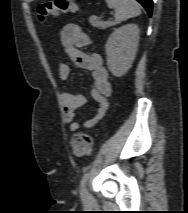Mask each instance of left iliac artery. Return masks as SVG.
<instances>
[{"mask_svg":"<svg viewBox=\"0 0 188 213\" xmlns=\"http://www.w3.org/2000/svg\"><path fill=\"white\" fill-rule=\"evenodd\" d=\"M90 172H86L81 179V189L83 190L89 178Z\"/></svg>","mask_w":188,"mask_h":213,"instance_id":"44dca946","label":"left iliac artery"}]
</instances>
